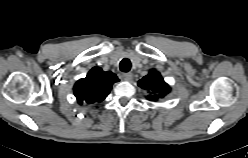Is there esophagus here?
Segmentation results:
<instances>
[{"instance_id": "1", "label": "esophagus", "mask_w": 248, "mask_h": 158, "mask_svg": "<svg viewBox=\"0 0 248 158\" xmlns=\"http://www.w3.org/2000/svg\"><path fill=\"white\" fill-rule=\"evenodd\" d=\"M122 77H123L124 80L130 81L132 79V73H130V72L123 73Z\"/></svg>"}]
</instances>
